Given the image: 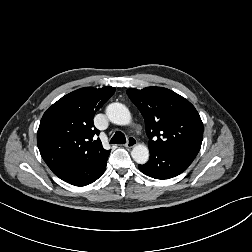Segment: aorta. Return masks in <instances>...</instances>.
<instances>
[{
  "label": "aorta",
  "instance_id": "762f6f07",
  "mask_svg": "<svg viewBox=\"0 0 252 252\" xmlns=\"http://www.w3.org/2000/svg\"><path fill=\"white\" fill-rule=\"evenodd\" d=\"M108 119L116 125H128L131 122V114L128 108L121 103H111L106 108ZM131 156L138 164H145L149 159L147 146L138 144L133 147Z\"/></svg>",
  "mask_w": 252,
  "mask_h": 252
}]
</instances>
